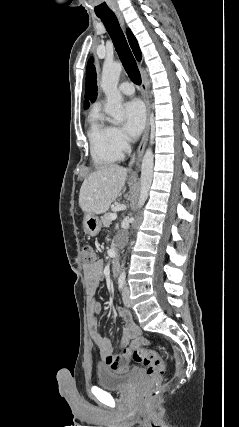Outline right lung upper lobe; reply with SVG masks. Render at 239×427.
<instances>
[{
    "instance_id": "obj_1",
    "label": "right lung upper lobe",
    "mask_w": 239,
    "mask_h": 427,
    "mask_svg": "<svg viewBox=\"0 0 239 427\" xmlns=\"http://www.w3.org/2000/svg\"><path fill=\"white\" fill-rule=\"evenodd\" d=\"M126 34H127L129 44L133 50L135 57L137 58V60H141L142 54H141V51H140V48H139V45L137 43L136 38L134 37V35L132 34L130 29L126 30Z\"/></svg>"
}]
</instances>
